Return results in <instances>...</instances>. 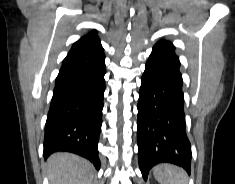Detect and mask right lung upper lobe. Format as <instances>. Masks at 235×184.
I'll return each mask as SVG.
<instances>
[{
    "mask_svg": "<svg viewBox=\"0 0 235 184\" xmlns=\"http://www.w3.org/2000/svg\"><path fill=\"white\" fill-rule=\"evenodd\" d=\"M100 53H104V50L98 36L96 35V31L93 30L75 42L68 54L93 55Z\"/></svg>",
    "mask_w": 235,
    "mask_h": 184,
    "instance_id": "1",
    "label": "right lung upper lobe"
}]
</instances>
